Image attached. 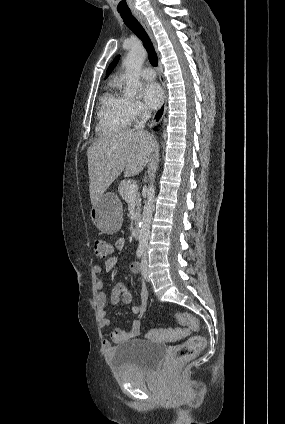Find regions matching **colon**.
<instances>
[{
  "label": "colon",
  "instance_id": "5ec220e1",
  "mask_svg": "<svg viewBox=\"0 0 285 424\" xmlns=\"http://www.w3.org/2000/svg\"><path fill=\"white\" fill-rule=\"evenodd\" d=\"M93 252L99 258H106L112 253V246L101 239L93 242ZM176 320L183 326H187L192 330H198V320L188 314L177 312ZM184 329L159 328L148 332L147 338L158 341H173L185 335ZM205 346V339L200 335H193L185 342L175 346L170 353V362H176L194 356Z\"/></svg>",
  "mask_w": 285,
  "mask_h": 424
}]
</instances>
